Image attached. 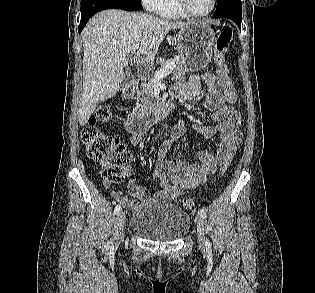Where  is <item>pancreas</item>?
Returning a JSON list of instances; mask_svg holds the SVG:
<instances>
[{"label": "pancreas", "instance_id": "pancreas-1", "mask_svg": "<svg viewBox=\"0 0 315 293\" xmlns=\"http://www.w3.org/2000/svg\"><path fill=\"white\" fill-rule=\"evenodd\" d=\"M170 62L175 63V67L172 70L173 79L176 80H182L185 78V67L186 62L185 58L181 55L169 60L168 62L162 64L161 67L166 66ZM154 81L153 78L149 79V81L146 83H142L140 85V89L137 91V98L141 102V104H137L135 107V111L140 114H146L148 113L151 106H155L157 104L156 99L153 97L154 93V87H153Z\"/></svg>", "mask_w": 315, "mask_h": 293}]
</instances>
